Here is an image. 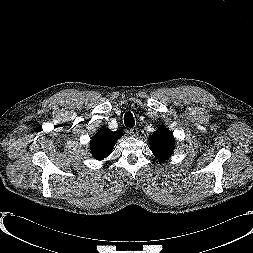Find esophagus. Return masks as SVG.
Returning a JSON list of instances; mask_svg holds the SVG:
<instances>
[{
    "mask_svg": "<svg viewBox=\"0 0 253 253\" xmlns=\"http://www.w3.org/2000/svg\"><path fill=\"white\" fill-rule=\"evenodd\" d=\"M129 134L133 137H137L138 134H139V131H138V128L137 127H132L130 130H129Z\"/></svg>",
    "mask_w": 253,
    "mask_h": 253,
    "instance_id": "esophagus-1",
    "label": "esophagus"
}]
</instances>
